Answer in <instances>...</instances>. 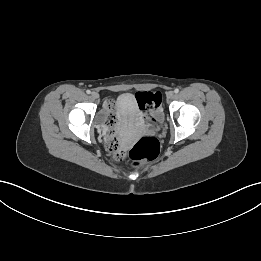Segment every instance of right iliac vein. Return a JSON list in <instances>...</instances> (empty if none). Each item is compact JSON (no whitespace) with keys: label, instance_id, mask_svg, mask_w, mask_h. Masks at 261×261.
<instances>
[{"label":"right iliac vein","instance_id":"right-iliac-vein-1","mask_svg":"<svg viewBox=\"0 0 261 261\" xmlns=\"http://www.w3.org/2000/svg\"><path fill=\"white\" fill-rule=\"evenodd\" d=\"M91 96H92V98H94V99L99 98V94H98L97 92H95V91L91 93Z\"/></svg>","mask_w":261,"mask_h":261}]
</instances>
